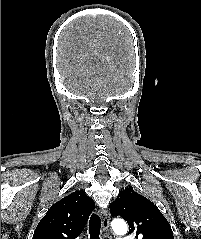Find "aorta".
Segmentation results:
<instances>
[{
    "mask_svg": "<svg viewBox=\"0 0 201 239\" xmlns=\"http://www.w3.org/2000/svg\"><path fill=\"white\" fill-rule=\"evenodd\" d=\"M112 230L116 235H124L127 233L128 227L123 219H114L111 223Z\"/></svg>",
    "mask_w": 201,
    "mask_h": 239,
    "instance_id": "obj_1",
    "label": "aorta"
}]
</instances>
